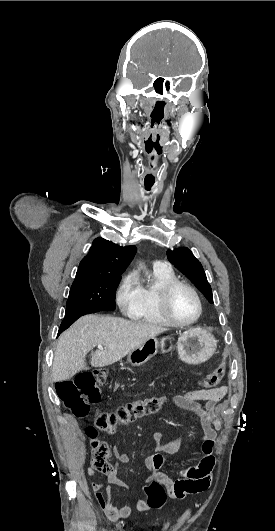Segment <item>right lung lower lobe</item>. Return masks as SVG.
<instances>
[{"label":"right lung lower lobe","mask_w":275,"mask_h":531,"mask_svg":"<svg viewBox=\"0 0 275 531\" xmlns=\"http://www.w3.org/2000/svg\"><path fill=\"white\" fill-rule=\"evenodd\" d=\"M70 325H71V324H66V325H64V326L61 325V326H60V329H59V333H58V335H59L61 332H63L65 329H67Z\"/></svg>","instance_id":"obj_1"}]
</instances>
